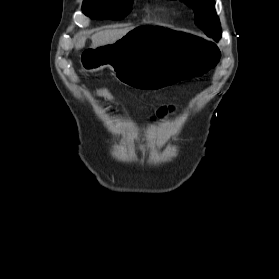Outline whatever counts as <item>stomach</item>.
Listing matches in <instances>:
<instances>
[{"mask_svg": "<svg viewBox=\"0 0 279 279\" xmlns=\"http://www.w3.org/2000/svg\"><path fill=\"white\" fill-rule=\"evenodd\" d=\"M105 50H82L84 75H111L133 91H167L181 82H207L218 72V48L171 25H135ZM169 49V50H148Z\"/></svg>", "mask_w": 279, "mask_h": 279, "instance_id": "obj_1", "label": "stomach"}]
</instances>
